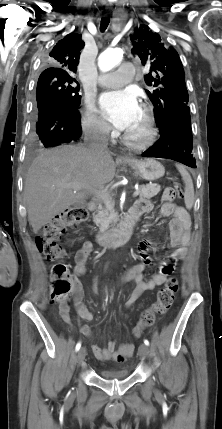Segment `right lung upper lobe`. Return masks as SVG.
Instances as JSON below:
<instances>
[{
	"label": "right lung upper lobe",
	"mask_w": 222,
	"mask_h": 429,
	"mask_svg": "<svg viewBox=\"0 0 222 429\" xmlns=\"http://www.w3.org/2000/svg\"><path fill=\"white\" fill-rule=\"evenodd\" d=\"M84 45L81 34L66 35L53 47L48 57L50 67L45 69L40 77H73Z\"/></svg>",
	"instance_id": "obj_1"
}]
</instances>
